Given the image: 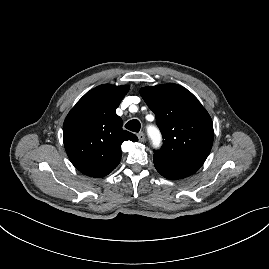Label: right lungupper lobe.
<instances>
[{
  "label": "right lung upper lobe",
  "instance_id": "right-lung-upper-lobe-1",
  "mask_svg": "<svg viewBox=\"0 0 269 269\" xmlns=\"http://www.w3.org/2000/svg\"><path fill=\"white\" fill-rule=\"evenodd\" d=\"M128 90V85H100L87 92L65 118V150L83 174L108 175L121 160V144L138 141L136 135L122 129L123 121L115 112Z\"/></svg>",
  "mask_w": 269,
  "mask_h": 269
}]
</instances>
